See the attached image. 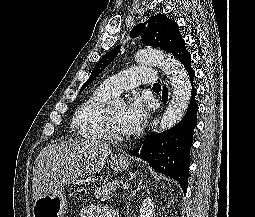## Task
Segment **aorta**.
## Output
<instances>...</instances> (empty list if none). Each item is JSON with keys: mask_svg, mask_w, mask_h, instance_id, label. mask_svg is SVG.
<instances>
[{"mask_svg": "<svg viewBox=\"0 0 255 217\" xmlns=\"http://www.w3.org/2000/svg\"><path fill=\"white\" fill-rule=\"evenodd\" d=\"M135 58L141 64L160 67L170 80L172 99L159 122V129L167 130L181 120L188 108L191 97L188 74L178 60L159 50L143 49L136 53ZM115 104H123V101L117 100Z\"/></svg>", "mask_w": 255, "mask_h": 217, "instance_id": "762f6f07", "label": "aorta"}]
</instances>
